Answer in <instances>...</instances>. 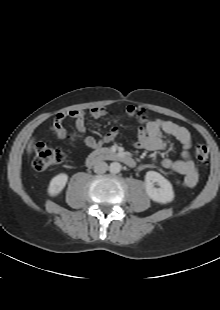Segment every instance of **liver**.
I'll use <instances>...</instances> for the list:
<instances>
[{
    "mask_svg": "<svg viewBox=\"0 0 220 310\" xmlns=\"http://www.w3.org/2000/svg\"><path fill=\"white\" fill-rule=\"evenodd\" d=\"M32 142H33V141H30V143L28 144V147H27V152H28V153L31 152V149H32Z\"/></svg>",
    "mask_w": 220,
    "mask_h": 310,
    "instance_id": "liver-1",
    "label": "liver"
}]
</instances>
